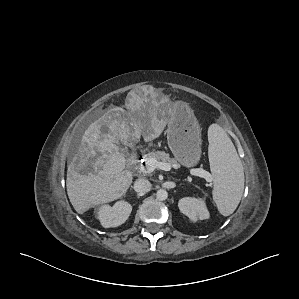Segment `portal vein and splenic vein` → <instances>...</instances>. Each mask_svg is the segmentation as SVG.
Masks as SVG:
<instances>
[{"label":"portal vein and splenic vein","instance_id":"portal-vein-and-splenic-vein-1","mask_svg":"<svg viewBox=\"0 0 299 299\" xmlns=\"http://www.w3.org/2000/svg\"><path fill=\"white\" fill-rule=\"evenodd\" d=\"M156 168L164 171H169L171 169V166L168 163L159 162L156 159H150L146 162L145 166L142 167V171L144 173H151ZM190 173L191 175L205 178L208 182H211L213 180L211 174L203 169H192Z\"/></svg>","mask_w":299,"mask_h":299}]
</instances>
